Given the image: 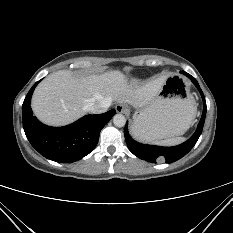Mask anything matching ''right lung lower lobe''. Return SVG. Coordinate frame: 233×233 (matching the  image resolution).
<instances>
[{"label": "right lung lower lobe", "mask_w": 233, "mask_h": 233, "mask_svg": "<svg viewBox=\"0 0 233 233\" xmlns=\"http://www.w3.org/2000/svg\"><path fill=\"white\" fill-rule=\"evenodd\" d=\"M37 84L30 89L22 105L23 128L31 145L44 157L59 163H72L88 155L96 147L100 131L116 111L86 115L63 127L44 125L33 116L30 107Z\"/></svg>", "instance_id": "98d812e1"}]
</instances>
